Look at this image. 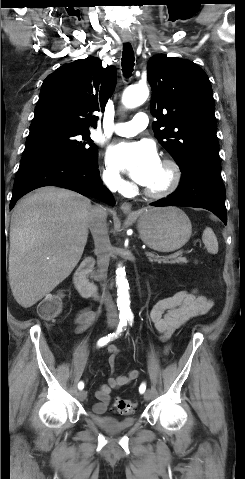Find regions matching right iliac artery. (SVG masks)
Wrapping results in <instances>:
<instances>
[{"label": "right iliac artery", "instance_id": "82829eb1", "mask_svg": "<svg viewBox=\"0 0 245 479\" xmlns=\"http://www.w3.org/2000/svg\"><path fill=\"white\" fill-rule=\"evenodd\" d=\"M120 318V321H119V324H118V327H117V330L113 333H110L108 334V336L106 337H103L101 339H99L97 345L98 346H104L106 345L108 342L116 339L124 330H126V326H127V317L126 316H121L119 317ZM84 388V383L83 382H79L78 383V389L79 390H82Z\"/></svg>", "mask_w": 245, "mask_h": 479}]
</instances>
